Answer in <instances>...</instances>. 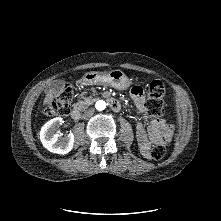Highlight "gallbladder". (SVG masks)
I'll return each instance as SVG.
<instances>
[{"mask_svg": "<svg viewBox=\"0 0 221 221\" xmlns=\"http://www.w3.org/2000/svg\"><path fill=\"white\" fill-rule=\"evenodd\" d=\"M53 87L56 89V90H59V91H62L65 87V82L64 81H56L54 84H53Z\"/></svg>", "mask_w": 221, "mask_h": 221, "instance_id": "gallbladder-1", "label": "gallbladder"}]
</instances>
